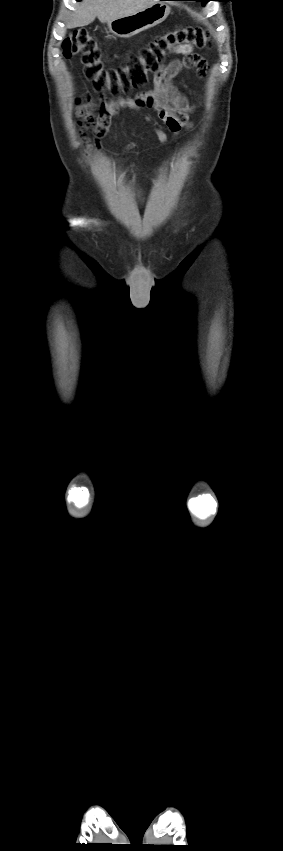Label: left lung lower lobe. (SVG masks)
Listing matches in <instances>:
<instances>
[{
    "mask_svg": "<svg viewBox=\"0 0 283 851\" xmlns=\"http://www.w3.org/2000/svg\"><path fill=\"white\" fill-rule=\"evenodd\" d=\"M175 1H183V0H175Z\"/></svg>",
    "mask_w": 283,
    "mask_h": 851,
    "instance_id": "1",
    "label": "left lung lower lobe"
}]
</instances>
